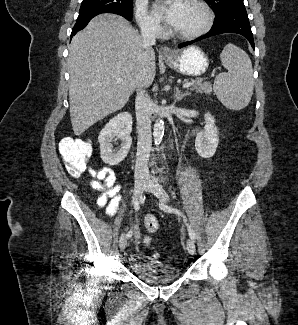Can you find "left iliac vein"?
I'll list each match as a JSON object with an SVG mask.
<instances>
[{
  "label": "left iliac vein",
  "instance_id": "1",
  "mask_svg": "<svg viewBox=\"0 0 298 325\" xmlns=\"http://www.w3.org/2000/svg\"><path fill=\"white\" fill-rule=\"evenodd\" d=\"M145 189L152 192L162 203H167L169 201L168 194L155 179L148 178ZM187 250L191 255L195 254L196 246L194 240L191 237L187 240Z\"/></svg>",
  "mask_w": 298,
  "mask_h": 325
}]
</instances>
